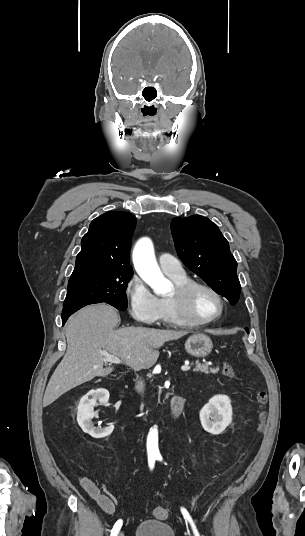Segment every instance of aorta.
Returning <instances> with one entry per match:
<instances>
[{
    "mask_svg": "<svg viewBox=\"0 0 305 536\" xmlns=\"http://www.w3.org/2000/svg\"><path fill=\"white\" fill-rule=\"evenodd\" d=\"M133 263L138 275L157 295L167 293L171 283L162 274L154 254L153 243L149 238L140 239L133 250Z\"/></svg>",
    "mask_w": 305,
    "mask_h": 536,
    "instance_id": "762f6f07",
    "label": "aorta"
}]
</instances>
